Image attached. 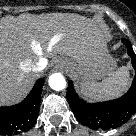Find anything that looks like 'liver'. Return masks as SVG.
<instances>
[{
	"instance_id": "1",
	"label": "liver",
	"mask_w": 136,
	"mask_h": 136,
	"mask_svg": "<svg viewBox=\"0 0 136 136\" xmlns=\"http://www.w3.org/2000/svg\"><path fill=\"white\" fill-rule=\"evenodd\" d=\"M108 39L87 20L72 14L20 15L0 21V104L25 93L28 65L54 49L65 56L88 55ZM47 44L46 53L43 46Z\"/></svg>"
}]
</instances>
